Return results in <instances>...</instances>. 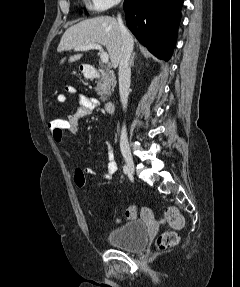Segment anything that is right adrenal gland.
Listing matches in <instances>:
<instances>
[{
    "label": "right adrenal gland",
    "instance_id": "1",
    "mask_svg": "<svg viewBox=\"0 0 240 287\" xmlns=\"http://www.w3.org/2000/svg\"><path fill=\"white\" fill-rule=\"evenodd\" d=\"M134 59H135V52L132 54L131 57V67H134Z\"/></svg>",
    "mask_w": 240,
    "mask_h": 287
}]
</instances>
